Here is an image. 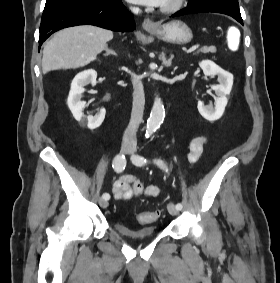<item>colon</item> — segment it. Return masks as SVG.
I'll use <instances>...</instances> for the list:
<instances>
[{"mask_svg":"<svg viewBox=\"0 0 280 283\" xmlns=\"http://www.w3.org/2000/svg\"><path fill=\"white\" fill-rule=\"evenodd\" d=\"M226 36L228 46L231 51H238L241 46V37H244V32H239L238 25H227ZM160 216L159 211H146L136 214L135 219L140 224H149L154 222Z\"/></svg>","mask_w":280,"mask_h":283,"instance_id":"1","label":"colon"}]
</instances>
